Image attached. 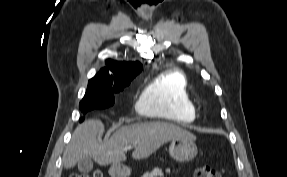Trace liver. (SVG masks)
<instances>
[{
	"mask_svg": "<svg viewBox=\"0 0 287 177\" xmlns=\"http://www.w3.org/2000/svg\"><path fill=\"white\" fill-rule=\"evenodd\" d=\"M104 125L100 120L90 119L78 125L70 144L63 155V164L70 169L85 157L94 159L99 165L117 164L126 160L124 146L133 145V159L149 157L168 141L178 138L196 137L187 130L167 122H141L123 126L109 140L98 142Z\"/></svg>",
	"mask_w": 287,
	"mask_h": 177,
	"instance_id": "obj_1",
	"label": "liver"
}]
</instances>
